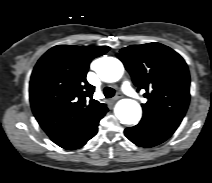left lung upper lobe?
Returning a JSON list of instances; mask_svg holds the SVG:
<instances>
[{"label": "left lung upper lobe", "mask_w": 212, "mask_h": 183, "mask_svg": "<svg viewBox=\"0 0 212 183\" xmlns=\"http://www.w3.org/2000/svg\"><path fill=\"white\" fill-rule=\"evenodd\" d=\"M117 57L138 90L146 91L143 117L178 127L190 99V77L184 59L160 43L129 46Z\"/></svg>", "instance_id": "obj_1"}]
</instances>
